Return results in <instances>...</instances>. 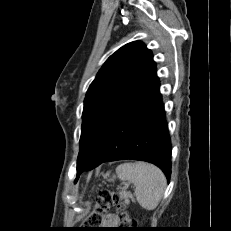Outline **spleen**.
I'll use <instances>...</instances> for the list:
<instances>
[{
    "instance_id": "1",
    "label": "spleen",
    "mask_w": 231,
    "mask_h": 231,
    "mask_svg": "<svg viewBox=\"0 0 231 231\" xmlns=\"http://www.w3.org/2000/svg\"><path fill=\"white\" fill-rule=\"evenodd\" d=\"M119 179L135 186L138 203L146 210H154L163 195L167 181L163 172L146 162L125 163L116 168Z\"/></svg>"
}]
</instances>
